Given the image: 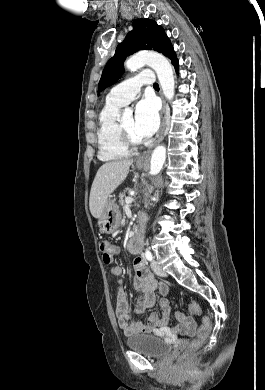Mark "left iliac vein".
Listing matches in <instances>:
<instances>
[{
  "label": "left iliac vein",
  "mask_w": 265,
  "mask_h": 390,
  "mask_svg": "<svg viewBox=\"0 0 265 390\" xmlns=\"http://www.w3.org/2000/svg\"><path fill=\"white\" fill-rule=\"evenodd\" d=\"M151 268L156 275L166 276V272L159 266L156 260H152Z\"/></svg>",
  "instance_id": "1"
}]
</instances>
